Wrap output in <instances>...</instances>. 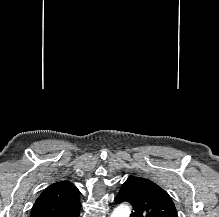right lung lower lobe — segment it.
<instances>
[{
  "instance_id": "right-lung-lower-lobe-1",
  "label": "right lung lower lobe",
  "mask_w": 219,
  "mask_h": 217,
  "mask_svg": "<svg viewBox=\"0 0 219 217\" xmlns=\"http://www.w3.org/2000/svg\"><path fill=\"white\" fill-rule=\"evenodd\" d=\"M75 217H79V214H78V215H75Z\"/></svg>"
}]
</instances>
